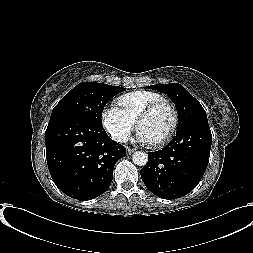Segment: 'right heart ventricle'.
Wrapping results in <instances>:
<instances>
[{"label":"right heart ventricle","mask_w":253,"mask_h":253,"mask_svg":"<svg viewBox=\"0 0 253 253\" xmlns=\"http://www.w3.org/2000/svg\"><path fill=\"white\" fill-rule=\"evenodd\" d=\"M157 92L136 90L118 97L117 106L132 120L136 121L140 112L150 103L162 99Z\"/></svg>","instance_id":"obj_1"}]
</instances>
